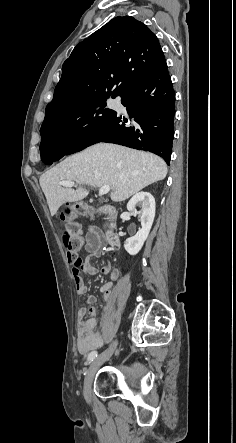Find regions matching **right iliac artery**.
Instances as JSON below:
<instances>
[{"instance_id": "obj_1", "label": "right iliac artery", "mask_w": 236, "mask_h": 443, "mask_svg": "<svg viewBox=\"0 0 236 443\" xmlns=\"http://www.w3.org/2000/svg\"><path fill=\"white\" fill-rule=\"evenodd\" d=\"M95 357H97V351H92L89 353L88 355V364H90L91 361H93V359H95Z\"/></svg>"}]
</instances>
